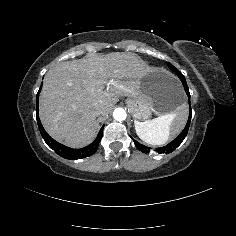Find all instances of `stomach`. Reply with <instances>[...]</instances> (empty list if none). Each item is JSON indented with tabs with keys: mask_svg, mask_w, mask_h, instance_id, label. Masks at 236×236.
<instances>
[{
	"mask_svg": "<svg viewBox=\"0 0 236 236\" xmlns=\"http://www.w3.org/2000/svg\"><path fill=\"white\" fill-rule=\"evenodd\" d=\"M185 94L176 77L162 69L149 70L139 82L138 95L126 103L134 120L145 121L152 114L166 116L185 102Z\"/></svg>",
	"mask_w": 236,
	"mask_h": 236,
	"instance_id": "1",
	"label": "stomach"
}]
</instances>
